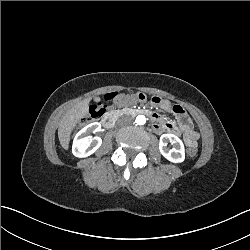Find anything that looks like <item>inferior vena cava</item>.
Wrapping results in <instances>:
<instances>
[{"mask_svg":"<svg viewBox=\"0 0 250 250\" xmlns=\"http://www.w3.org/2000/svg\"><path fill=\"white\" fill-rule=\"evenodd\" d=\"M130 117H127V116H122V117H120L119 119H118V121H117V124L118 125H126V123H125V120L126 119H129Z\"/></svg>","mask_w":250,"mask_h":250,"instance_id":"602c4592","label":"inferior vena cava"}]
</instances>
